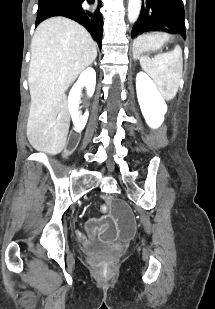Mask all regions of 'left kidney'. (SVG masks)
<instances>
[{"mask_svg": "<svg viewBox=\"0 0 215 309\" xmlns=\"http://www.w3.org/2000/svg\"><path fill=\"white\" fill-rule=\"evenodd\" d=\"M140 86H144V94H141ZM136 92L141 112L147 124L151 128L161 126L167 112V104L154 82L145 72H138L136 76Z\"/></svg>", "mask_w": 215, "mask_h": 309, "instance_id": "obj_1", "label": "left kidney"}]
</instances>
